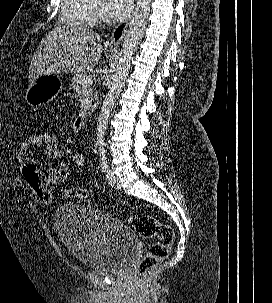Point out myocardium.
<instances>
[{"label": "myocardium", "mask_w": 272, "mask_h": 303, "mask_svg": "<svg viewBox=\"0 0 272 303\" xmlns=\"http://www.w3.org/2000/svg\"><path fill=\"white\" fill-rule=\"evenodd\" d=\"M92 6H93L94 11L98 10V6L96 4L92 3Z\"/></svg>", "instance_id": "myocardium-1"}]
</instances>
